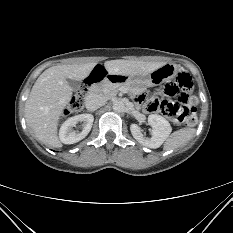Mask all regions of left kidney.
<instances>
[{
	"label": "left kidney",
	"mask_w": 233,
	"mask_h": 233,
	"mask_svg": "<svg viewBox=\"0 0 233 233\" xmlns=\"http://www.w3.org/2000/svg\"><path fill=\"white\" fill-rule=\"evenodd\" d=\"M148 123L152 126V136L144 137L141 128L137 124H131L132 136L143 146L156 149L160 147L169 137L172 128L169 122L160 115L151 114L148 116Z\"/></svg>",
	"instance_id": "left-kidney-1"
}]
</instances>
